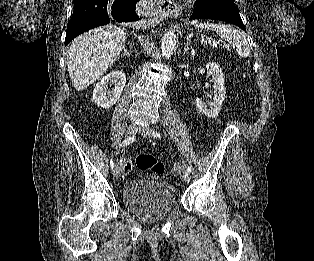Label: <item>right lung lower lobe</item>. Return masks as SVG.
Segmentation results:
<instances>
[{"label":"right lung lower lobe","mask_w":314,"mask_h":261,"mask_svg":"<svg viewBox=\"0 0 314 261\" xmlns=\"http://www.w3.org/2000/svg\"><path fill=\"white\" fill-rule=\"evenodd\" d=\"M138 1L123 0L118 5L112 4L111 0H75L74 12L67 25L65 45L85 31L108 24L111 17L118 22L138 20L135 12Z\"/></svg>","instance_id":"right-lung-lower-lobe-1"}]
</instances>
